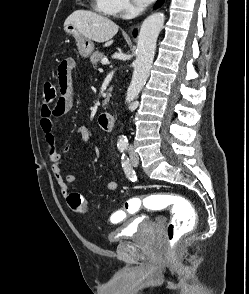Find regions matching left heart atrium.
Listing matches in <instances>:
<instances>
[{
	"label": "left heart atrium",
	"mask_w": 249,
	"mask_h": 294,
	"mask_svg": "<svg viewBox=\"0 0 249 294\" xmlns=\"http://www.w3.org/2000/svg\"><path fill=\"white\" fill-rule=\"evenodd\" d=\"M136 2L140 3V4H148L150 3L152 0H135Z\"/></svg>",
	"instance_id": "1"
}]
</instances>
